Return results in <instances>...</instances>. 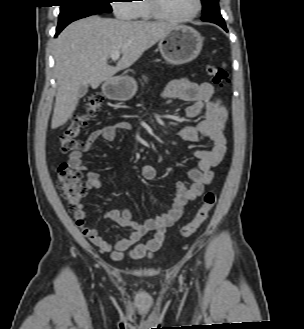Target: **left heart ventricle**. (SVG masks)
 <instances>
[{"label": "left heart ventricle", "instance_id": "obj_1", "mask_svg": "<svg viewBox=\"0 0 304 329\" xmlns=\"http://www.w3.org/2000/svg\"><path fill=\"white\" fill-rule=\"evenodd\" d=\"M165 10L175 16L191 14L196 8V0H161Z\"/></svg>", "mask_w": 304, "mask_h": 329}]
</instances>
